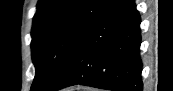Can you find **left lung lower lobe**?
Returning <instances> with one entry per match:
<instances>
[{
  "instance_id": "1",
  "label": "left lung lower lobe",
  "mask_w": 173,
  "mask_h": 91,
  "mask_svg": "<svg viewBox=\"0 0 173 91\" xmlns=\"http://www.w3.org/2000/svg\"><path fill=\"white\" fill-rule=\"evenodd\" d=\"M140 22L133 0H114L49 91L77 84L112 91H141Z\"/></svg>"
}]
</instances>
